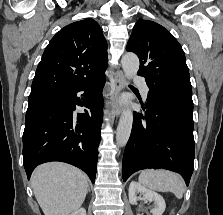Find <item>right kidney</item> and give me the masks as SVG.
Wrapping results in <instances>:
<instances>
[{
	"instance_id": "obj_1",
	"label": "right kidney",
	"mask_w": 223,
	"mask_h": 215,
	"mask_svg": "<svg viewBox=\"0 0 223 215\" xmlns=\"http://www.w3.org/2000/svg\"><path fill=\"white\" fill-rule=\"evenodd\" d=\"M70 215H86V209H84V207H80V209L73 211V213H70Z\"/></svg>"
}]
</instances>
